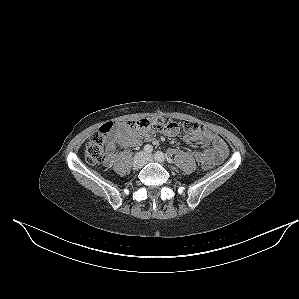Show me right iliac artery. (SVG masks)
I'll use <instances>...</instances> for the list:
<instances>
[{"label":"right iliac artery","mask_w":299,"mask_h":299,"mask_svg":"<svg viewBox=\"0 0 299 299\" xmlns=\"http://www.w3.org/2000/svg\"><path fill=\"white\" fill-rule=\"evenodd\" d=\"M144 151L146 152V153H151L152 151H153V147L151 146V145H145L144 146Z\"/></svg>","instance_id":"obj_1"}]
</instances>
